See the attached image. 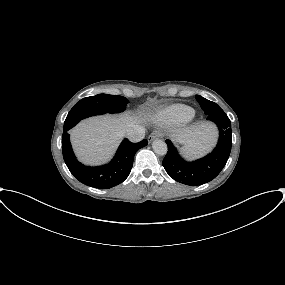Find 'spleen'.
Masks as SVG:
<instances>
[{"instance_id": "1", "label": "spleen", "mask_w": 285, "mask_h": 285, "mask_svg": "<svg viewBox=\"0 0 285 285\" xmlns=\"http://www.w3.org/2000/svg\"><path fill=\"white\" fill-rule=\"evenodd\" d=\"M214 138L209 143L194 146V145H187L182 149V152L189 158H195L204 155L212 146Z\"/></svg>"}]
</instances>
